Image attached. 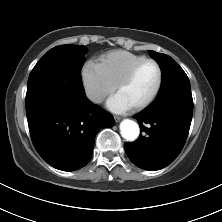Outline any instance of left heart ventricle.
<instances>
[{
  "mask_svg": "<svg viewBox=\"0 0 222 222\" xmlns=\"http://www.w3.org/2000/svg\"><path fill=\"white\" fill-rule=\"evenodd\" d=\"M158 81V71L152 63L143 65L132 80L121 87L120 93L132 106L147 100L153 93Z\"/></svg>",
  "mask_w": 222,
  "mask_h": 222,
  "instance_id": "b2bd125f",
  "label": "left heart ventricle"
}]
</instances>
